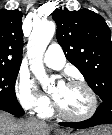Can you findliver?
I'll use <instances>...</instances> for the list:
<instances>
[{"label": "liver", "mask_w": 112, "mask_h": 135, "mask_svg": "<svg viewBox=\"0 0 112 135\" xmlns=\"http://www.w3.org/2000/svg\"><path fill=\"white\" fill-rule=\"evenodd\" d=\"M49 127L42 122L16 120L0 111V135H49Z\"/></svg>", "instance_id": "obj_1"}]
</instances>
